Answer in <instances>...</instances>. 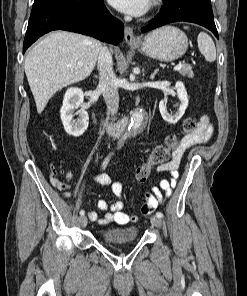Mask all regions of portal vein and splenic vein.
<instances>
[{"mask_svg": "<svg viewBox=\"0 0 247 296\" xmlns=\"http://www.w3.org/2000/svg\"><path fill=\"white\" fill-rule=\"evenodd\" d=\"M182 66H183L182 63L179 62L177 65H175L174 70H179L182 68Z\"/></svg>", "mask_w": 247, "mask_h": 296, "instance_id": "1", "label": "portal vein and splenic vein"}]
</instances>
